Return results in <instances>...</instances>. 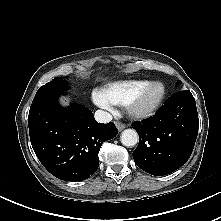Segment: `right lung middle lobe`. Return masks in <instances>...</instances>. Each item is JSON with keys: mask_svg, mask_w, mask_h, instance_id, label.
I'll return each mask as SVG.
<instances>
[{"mask_svg": "<svg viewBox=\"0 0 221 221\" xmlns=\"http://www.w3.org/2000/svg\"><path fill=\"white\" fill-rule=\"evenodd\" d=\"M66 89H67V86H66L65 80L54 78L52 81L48 82L47 84L41 86L38 89L33 101L39 98H42L44 96L50 95V94L62 93Z\"/></svg>", "mask_w": 221, "mask_h": 221, "instance_id": "1", "label": "right lung middle lobe"}]
</instances>
